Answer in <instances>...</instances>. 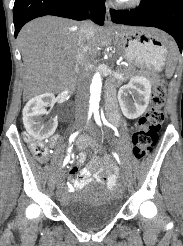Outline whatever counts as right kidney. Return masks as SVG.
<instances>
[{
    "label": "right kidney",
    "instance_id": "ca27d5eb",
    "mask_svg": "<svg viewBox=\"0 0 183 246\" xmlns=\"http://www.w3.org/2000/svg\"><path fill=\"white\" fill-rule=\"evenodd\" d=\"M52 93H44L28 101L23 109V124L28 134L36 140L49 138L58 126L57 119L43 122L42 116L46 114L48 105L54 103Z\"/></svg>",
    "mask_w": 183,
    "mask_h": 246
}]
</instances>
